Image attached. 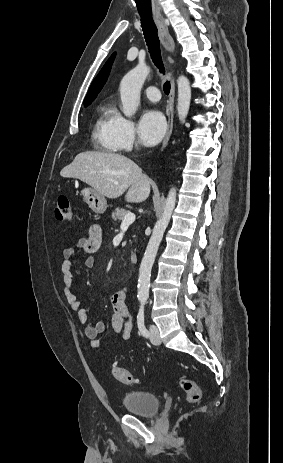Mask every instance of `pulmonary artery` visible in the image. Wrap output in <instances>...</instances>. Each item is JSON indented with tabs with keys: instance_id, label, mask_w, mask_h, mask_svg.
Listing matches in <instances>:
<instances>
[{
	"instance_id": "obj_1",
	"label": "pulmonary artery",
	"mask_w": 283,
	"mask_h": 463,
	"mask_svg": "<svg viewBox=\"0 0 283 463\" xmlns=\"http://www.w3.org/2000/svg\"><path fill=\"white\" fill-rule=\"evenodd\" d=\"M143 92L145 96L151 101H158L161 98L159 90L154 86L145 88Z\"/></svg>"
}]
</instances>
